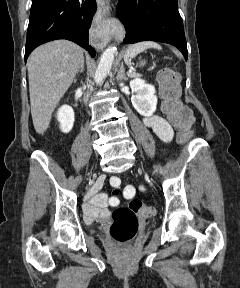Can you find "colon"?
I'll list each match as a JSON object with an SVG mask.
<instances>
[{"label":"colon","instance_id":"colon-1","mask_svg":"<svg viewBox=\"0 0 240 288\" xmlns=\"http://www.w3.org/2000/svg\"><path fill=\"white\" fill-rule=\"evenodd\" d=\"M160 93L163 99L162 110L177 129L182 139L191 136L192 114L180 101L179 76L169 68L159 74ZM151 206L139 199H131L127 207L118 208L113 212L110 226L111 237L122 247L129 246L138 231V218H147L154 214Z\"/></svg>","mask_w":240,"mask_h":288}]
</instances>
